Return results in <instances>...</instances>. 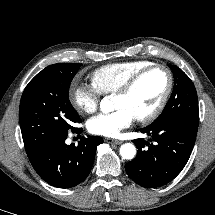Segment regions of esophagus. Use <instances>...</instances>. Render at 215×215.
I'll list each match as a JSON object with an SVG mask.
<instances>
[{
    "mask_svg": "<svg viewBox=\"0 0 215 215\" xmlns=\"http://www.w3.org/2000/svg\"><path fill=\"white\" fill-rule=\"evenodd\" d=\"M105 142H107L109 144H116V145H119L122 143V141L117 140V139H112V138H105Z\"/></svg>",
    "mask_w": 215,
    "mask_h": 215,
    "instance_id": "esophagus-1",
    "label": "esophagus"
}]
</instances>
